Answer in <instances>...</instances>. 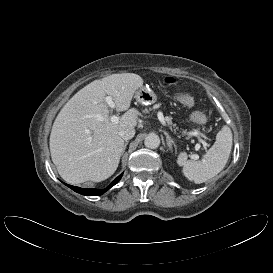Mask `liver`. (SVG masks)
Wrapping results in <instances>:
<instances>
[{
	"mask_svg": "<svg viewBox=\"0 0 273 273\" xmlns=\"http://www.w3.org/2000/svg\"><path fill=\"white\" fill-rule=\"evenodd\" d=\"M143 79L134 73L112 74L79 90L61 109L50 134V153L59 175L68 183L100 182L116 171L124 148L119 132L137 125L139 111L129 109ZM111 96L117 123L105 102Z\"/></svg>",
	"mask_w": 273,
	"mask_h": 273,
	"instance_id": "obj_1",
	"label": "liver"
}]
</instances>
